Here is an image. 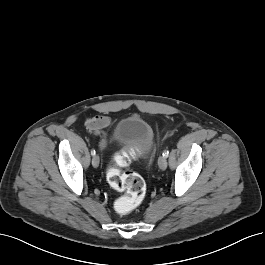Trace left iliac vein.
I'll list each match as a JSON object with an SVG mask.
<instances>
[{"label":"left iliac vein","mask_w":265,"mask_h":265,"mask_svg":"<svg viewBox=\"0 0 265 265\" xmlns=\"http://www.w3.org/2000/svg\"><path fill=\"white\" fill-rule=\"evenodd\" d=\"M158 166L161 170H165L167 168V159L164 156H161L158 159Z\"/></svg>","instance_id":"1"}]
</instances>
